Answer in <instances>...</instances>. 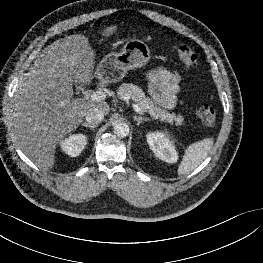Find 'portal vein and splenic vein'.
I'll list each match as a JSON object with an SVG mask.
<instances>
[{
    "label": "portal vein and splenic vein",
    "mask_w": 263,
    "mask_h": 263,
    "mask_svg": "<svg viewBox=\"0 0 263 263\" xmlns=\"http://www.w3.org/2000/svg\"><path fill=\"white\" fill-rule=\"evenodd\" d=\"M90 99L94 101H102L106 99V94L103 91H94L89 94ZM133 109L137 112L142 114L141 108L138 106V104H133Z\"/></svg>",
    "instance_id": "18ae733b"
}]
</instances>
